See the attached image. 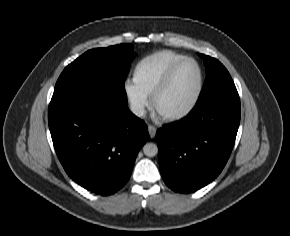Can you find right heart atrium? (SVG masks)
<instances>
[{
  "instance_id": "obj_1",
  "label": "right heart atrium",
  "mask_w": 290,
  "mask_h": 236,
  "mask_svg": "<svg viewBox=\"0 0 290 236\" xmlns=\"http://www.w3.org/2000/svg\"><path fill=\"white\" fill-rule=\"evenodd\" d=\"M125 96L133 114L141 116L148 105V95L140 89L132 80H128L124 86Z\"/></svg>"
}]
</instances>
